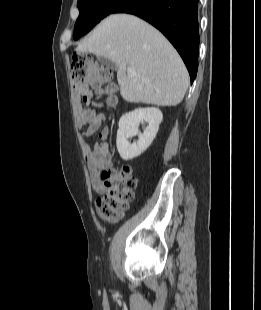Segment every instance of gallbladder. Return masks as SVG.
Instances as JSON below:
<instances>
[{
    "label": "gallbladder",
    "instance_id": "gallbladder-1",
    "mask_svg": "<svg viewBox=\"0 0 261 310\" xmlns=\"http://www.w3.org/2000/svg\"><path fill=\"white\" fill-rule=\"evenodd\" d=\"M97 60L103 65L111 69H116L113 61L104 56H98Z\"/></svg>",
    "mask_w": 261,
    "mask_h": 310
}]
</instances>
